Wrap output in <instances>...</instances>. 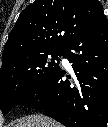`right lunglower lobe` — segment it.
Instances as JSON below:
<instances>
[{"label": "right lung lower lobe", "mask_w": 108, "mask_h": 127, "mask_svg": "<svg viewBox=\"0 0 108 127\" xmlns=\"http://www.w3.org/2000/svg\"><path fill=\"white\" fill-rule=\"evenodd\" d=\"M63 57L75 76L58 69L19 104L44 110L66 127H105L108 122V21L77 36Z\"/></svg>", "instance_id": "1"}]
</instances>
